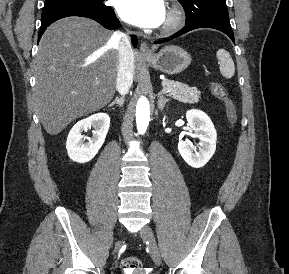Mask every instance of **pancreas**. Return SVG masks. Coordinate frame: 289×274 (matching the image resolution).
Listing matches in <instances>:
<instances>
[{
  "mask_svg": "<svg viewBox=\"0 0 289 274\" xmlns=\"http://www.w3.org/2000/svg\"><path fill=\"white\" fill-rule=\"evenodd\" d=\"M163 88H168V96L183 103H197L200 99V91L195 87H189L178 81L164 79L162 81Z\"/></svg>",
  "mask_w": 289,
  "mask_h": 274,
  "instance_id": "1",
  "label": "pancreas"
}]
</instances>
